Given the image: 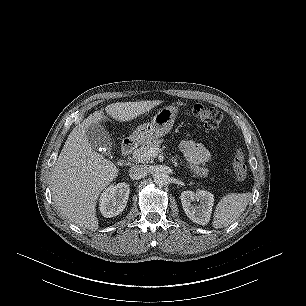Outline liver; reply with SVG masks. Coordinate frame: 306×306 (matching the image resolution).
I'll return each instance as SVG.
<instances>
[{
	"instance_id": "6515ba94",
	"label": "liver",
	"mask_w": 306,
	"mask_h": 306,
	"mask_svg": "<svg viewBox=\"0 0 306 306\" xmlns=\"http://www.w3.org/2000/svg\"><path fill=\"white\" fill-rule=\"evenodd\" d=\"M159 104L160 100L117 102L106 106L105 111L113 119L125 122ZM107 119L102 111H95L77 125L68 136L51 175L52 197L61 214L91 231L99 228L96 215L99 194L119 172L114 163L92 149L86 136L90 125Z\"/></svg>"
}]
</instances>
